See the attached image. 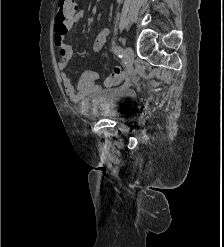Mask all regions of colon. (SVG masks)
Returning <instances> with one entry per match:
<instances>
[{"instance_id": "1", "label": "colon", "mask_w": 224, "mask_h": 247, "mask_svg": "<svg viewBox=\"0 0 224 247\" xmlns=\"http://www.w3.org/2000/svg\"><path fill=\"white\" fill-rule=\"evenodd\" d=\"M75 0H59L57 13L55 18V31L58 33L66 34L73 24V18L76 13ZM126 79L123 71L114 72L107 80L106 85H116L124 82Z\"/></svg>"}]
</instances>
